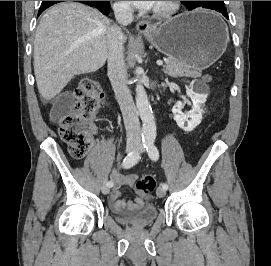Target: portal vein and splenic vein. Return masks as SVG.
<instances>
[{
  "mask_svg": "<svg viewBox=\"0 0 271 266\" xmlns=\"http://www.w3.org/2000/svg\"><path fill=\"white\" fill-rule=\"evenodd\" d=\"M157 65H159V66H161V65H163V61L162 60H157Z\"/></svg>",
  "mask_w": 271,
  "mask_h": 266,
  "instance_id": "18ae733b",
  "label": "portal vein and splenic vein"
}]
</instances>
